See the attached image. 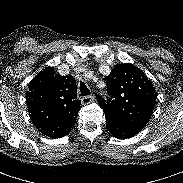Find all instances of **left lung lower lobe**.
<instances>
[{"label":"left lung lower lobe","instance_id":"0a47b994","mask_svg":"<svg viewBox=\"0 0 183 183\" xmlns=\"http://www.w3.org/2000/svg\"><path fill=\"white\" fill-rule=\"evenodd\" d=\"M106 126L109 132L118 139H127L139 133L143 127L138 125H128L106 118Z\"/></svg>","mask_w":183,"mask_h":183}]
</instances>
